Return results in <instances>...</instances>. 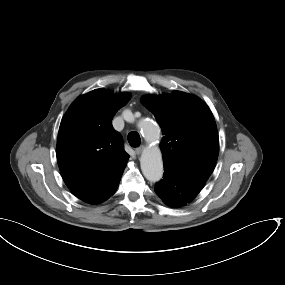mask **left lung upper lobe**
<instances>
[{
	"label": "left lung upper lobe",
	"instance_id": "obj_1",
	"mask_svg": "<svg viewBox=\"0 0 285 285\" xmlns=\"http://www.w3.org/2000/svg\"><path fill=\"white\" fill-rule=\"evenodd\" d=\"M142 103L158 121L164 168L206 182L219 153L216 123L209 107L181 91L147 95Z\"/></svg>",
	"mask_w": 285,
	"mask_h": 285
}]
</instances>
